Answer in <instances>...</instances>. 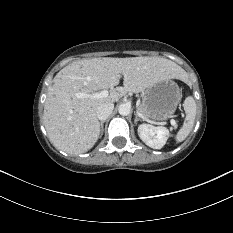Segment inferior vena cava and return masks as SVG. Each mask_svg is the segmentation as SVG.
I'll use <instances>...</instances> for the list:
<instances>
[{
    "mask_svg": "<svg viewBox=\"0 0 233 233\" xmlns=\"http://www.w3.org/2000/svg\"><path fill=\"white\" fill-rule=\"evenodd\" d=\"M114 109L113 103H103L97 108V118L101 121L106 120Z\"/></svg>",
    "mask_w": 233,
    "mask_h": 233,
    "instance_id": "obj_1",
    "label": "inferior vena cava"
}]
</instances>
